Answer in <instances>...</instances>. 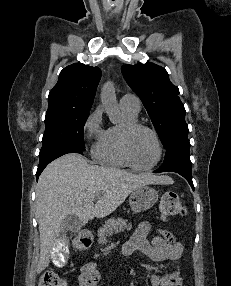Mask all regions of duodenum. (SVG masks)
Returning a JSON list of instances; mask_svg holds the SVG:
<instances>
[{
	"label": "duodenum",
	"instance_id": "obj_1",
	"mask_svg": "<svg viewBox=\"0 0 231 286\" xmlns=\"http://www.w3.org/2000/svg\"><path fill=\"white\" fill-rule=\"evenodd\" d=\"M92 242L93 235L91 233H85L77 239L76 247L79 250H86L91 246Z\"/></svg>",
	"mask_w": 231,
	"mask_h": 286
}]
</instances>
